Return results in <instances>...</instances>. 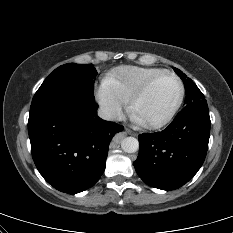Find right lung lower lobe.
Masks as SVG:
<instances>
[{
  "label": "right lung lower lobe",
  "mask_w": 233,
  "mask_h": 233,
  "mask_svg": "<svg viewBox=\"0 0 233 233\" xmlns=\"http://www.w3.org/2000/svg\"><path fill=\"white\" fill-rule=\"evenodd\" d=\"M95 101H56L30 110L28 132L35 165L54 188L76 194L105 170L109 143L123 127L97 116Z\"/></svg>",
  "instance_id": "obj_1"
}]
</instances>
